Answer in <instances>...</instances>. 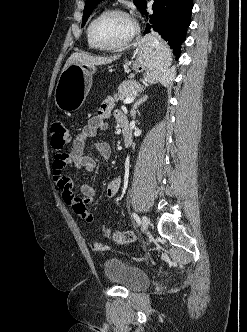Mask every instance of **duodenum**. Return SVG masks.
<instances>
[{"label": "duodenum", "instance_id": "1", "mask_svg": "<svg viewBox=\"0 0 247 332\" xmlns=\"http://www.w3.org/2000/svg\"><path fill=\"white\" fill-rule=\"evenodd\" d=\"M118 123L121 128L124 147L129 148L132 142V138L126 116L123 115L119 117Z\"/></svg>", "mask_w": 247, "mask_h": 332}]
</instances>
